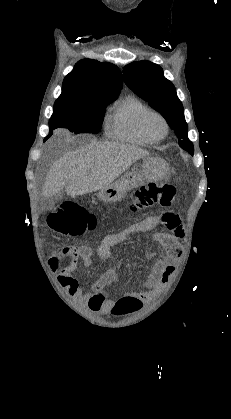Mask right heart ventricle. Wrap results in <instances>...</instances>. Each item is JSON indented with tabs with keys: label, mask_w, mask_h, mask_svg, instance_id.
I'll use <instances>...</instances> for the list:
<instances>
[{
	"label": "right heart ventricle",
	"mask_w": 231,
	"mask_h": 419,
	"mask_svg": "<svg viewBox=\"0 0 231 419\" xmlns=\"http://www.w3.org/2000/svg\"><path fill=\"white\" fill-rule=\"evenodd\" d=\"M150 109L139 99L127 97L116 103L106 123L107 135L117 141L145 145L150 143L140 130V120Z\"/></svg>",
	"instance_id": "right-heart-ventricle-1"
}]
</instances>
